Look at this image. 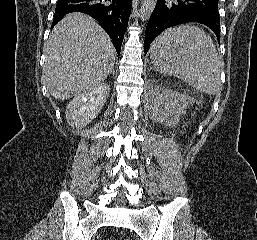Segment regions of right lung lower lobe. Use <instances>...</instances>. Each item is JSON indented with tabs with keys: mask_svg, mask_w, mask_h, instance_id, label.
Segmentation results:
<instances>
[{
	"mask_svg": "<svg viewBox=\"0 0 257 240\" xmlns=\"http://www.w3.org/2000/svg\"><path fill=\"white\" fill-rule=\"evenodd\" d=\"M131 4L132 0H58L52 28L68 13H86L102 25L119 55L128 26Z\"/></svg>",
	"mask_w": 257,
	"mask_h": 240,
	"instance_id": "1",
	"label": "right lung lower lobe"
}]
</instances>
